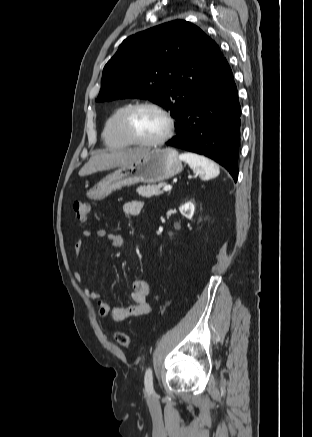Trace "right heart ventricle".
Segmentation results:
<instances>
[{"label": "right heart ventricle", "mask_w": 312, "mask_h": 437, "mask_svg": "<svg viewBox=\"0 0 312 437\" xmlns=\"http://www.w3.org/2000/svg\"><path fill=\"white\" fill-rule=\"evenodd\" d=\"M131 104H122L112 111L107 117L102 137L105 144L112 149H123L131 146V143L123 135L120 128V120L125 110L130 107Z\"/></svg>", "instance_id": "obj_1"}]
</instances>
